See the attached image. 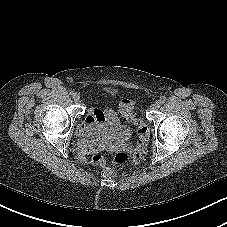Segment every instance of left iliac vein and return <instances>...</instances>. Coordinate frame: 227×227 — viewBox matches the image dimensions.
<instances>
[{
    "label": "left iliac vein",
    "mask_w": 227,
    "mask_h": 227,
    "mask_svg": "<svg viewBox=\"0 0 227 227\" xmlns=\"http://www.w3.org/2000/svg\"><path fill=\"white\" fill-rule=\"evenodd\" d=\"M161 106V102L160 100H156L154 103H153V108H159Z\"/></svg>",
    "instance_id": "obj_1"
}]
</instances>
